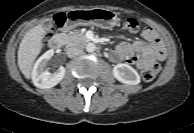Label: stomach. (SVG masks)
<instances>
[{
  "label": "stomach",
  "mask_w": 194,
  "mask_h": 133,
  "mask_svg": "<svg viewBox=\"0 0 194 133\" xmlns=\"http://www.w3.org/2000/svg\"><path fill=\"white\" fill-rule=\"evenodd\" d=\"M117 15L107 9H74L69 12L67 27L94 25L103 29H111L117 23Z\"/></svg>",
  "instance_id": "1"
}]
</instances>
